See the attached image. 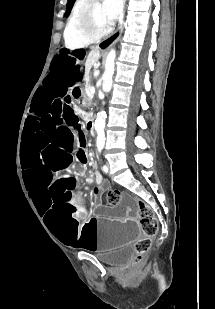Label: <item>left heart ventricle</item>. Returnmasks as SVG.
<instances>
[{
	"mask_svg": "<svg viewBox=\"0 0 215 309\" xmlns=\"http://www.w3.org/2000/svg\"><path fill=\"white\" fill-rule=\"evenodd\" d=\"M93 20H91L93 25H104L105 24V11L104 10H93L92 11Z\"/></svg>",
	"mask_w": 215,
	"mask_h": 309,
	"instance_id": "b2bd125f",
	"label": "left heart ventricle"
}]
</instances>
